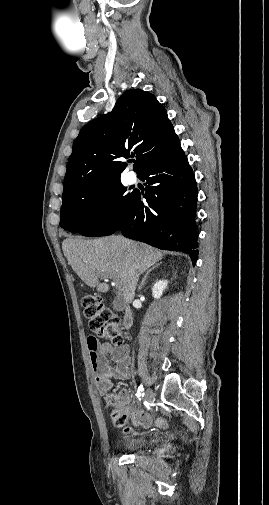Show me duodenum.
Here are the masks:
<instances>
[{"label":"duodenum","instance_id":"410a0bca","mask_svg":"<svg viewBox=\"0 0 269 505\" xmlns=\"http://www.w3.org/2000/svg\"><path fill=\"white\" fill-rule=\"evenodd\" d=\"M133 324V314L129 307L125 308L123 315V325L126 329H130Z\"/></svg>","mask_w":269,"mask_h":505}]
</instances>
